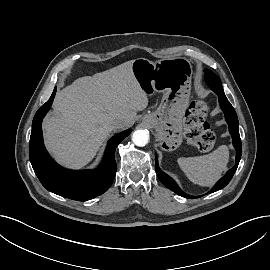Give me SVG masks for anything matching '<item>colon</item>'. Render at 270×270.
I'll use <instances>...</instances> for the list:
<instances>
[{
  "label": "colon",
  "instance_id": "1",
  "mask_svg": "<svg viewBox=\"0 0 270 270\" xmlns=\"http://www.w3.org/2000/svg\"><path fill=\"white\" fill-rule=\"evenodd\" d=\"M208 106L202 101L190 104L184 117L186 139L201 151H209L216 142V135L206 124Z\"/></svg>",
  "mask_w": 270,
  "mask_h": 270
}]
</instances>
